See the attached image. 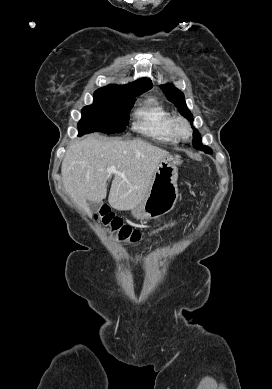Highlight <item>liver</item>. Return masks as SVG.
Listing matches in <instances>:
<instances>
[{
    "instance_id": "liver-1",
    "label": "liver",
    "mask_w": 272,
    "mask_h": 389,
    "mask_svg": "<svg viewBox=\"0 0 272 389\" xmlns=\"http://www.w3.org/2000/svg\"><path fill=\"white\" fill-rule=\"evenodd\" d=\"M169 153L142 139H102L96 134L73 141L61 166L65 191L88 211L87 202H101L114 174L108 202L116 210L135 208L145 198L153 174ZM115 166L119 174L108 173Z\"/></svg>"
}]
</instances>
